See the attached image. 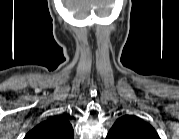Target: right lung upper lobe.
I'll return each mask as SVG.
<instances>
[{"mask_svg": "<svg viewBox=\"0 0 179 139\" xmlns=\"http://www.w3.org/2000/svg\"><path fill=\"white\" fill-rule=\"evenodd\" d=\"M27 139H73L74 131L63 116H54L35 126L26 135Z\"/></svg>", "mask_w": 179, "mask_h": 139, "instance_id": "obj_1", "label": "right lung upper lobe"}]
</instances>
